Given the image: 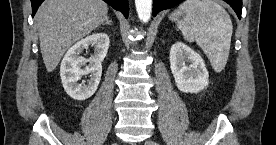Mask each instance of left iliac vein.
I'll list each match as a JSON object with an SVG mask.
<instances>
[{
	"label": "left iliac vein",
	"instance_id": "1",
	"mask_svg": "<svg viewBox=\"0 0 276 145\" xmlns=\"http://www.w3.org/2000/svg\"><path fill=\"white\" fill-rule=\"evenodd\" d=\"M148 145H156V143L154 141H147Z\"/></svg>",
	"mask_w": 276,
	"mask_h": 145
}]
</instances>
